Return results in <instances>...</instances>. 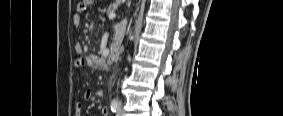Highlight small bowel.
<instances>
[{
    "label": "small bowel",
    "instance_id": "small-bowel-1",
    "mask_svg": "<svg viewBox=\"0 0 283 116\" xmlns=\"http://www.w3.org/2000/svg\"><path fill=\"white\" fill-rule=\"evenodd\" d=\"M72 22H73V25L75 27L81 26L82 18L80 16V14H77V13L74 14L73 18H72ZM74 49H75V52L77 54L83 55L84 51H83V48H82L80 43H76L75 46H74ZM75 65H76V67H83V66H86V65L87 66H93V65H95V60L91 57H88V56H81L76 61ZM84 98H85V100H91V99L94 98V93L91 90H87L84 93ZM82 110H83L82 105H80V104L77 105L76 115H82ZM100 113H101V116H108L109 115L108 107H106V106L102 107L101 110H100Z\"/></svg>",
    "mask_w": 283,
    "mask_h": 116
}]
</instances>
